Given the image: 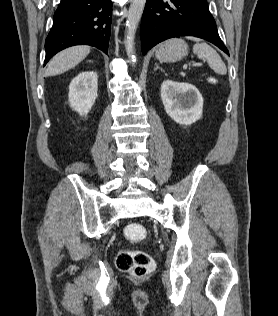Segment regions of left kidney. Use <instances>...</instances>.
Instances as JSON below:
<instances>
[{
	"label": "left kidney",
	"mask_w": 278,
	"mask_h": 316,
	"mask_svg": "<svg viewBox=\"0 0 278 316\" xmlns=\"http://www.w3.org/2000/svg\"><path fill=\"white\" fill-rule=\"evenodd\" d=\"M161 98L166 113L180 125H191L202 117L203 98L194 85L166 80Z\"/></svg>",
	"instance_id": "1"
}]
</instances>
